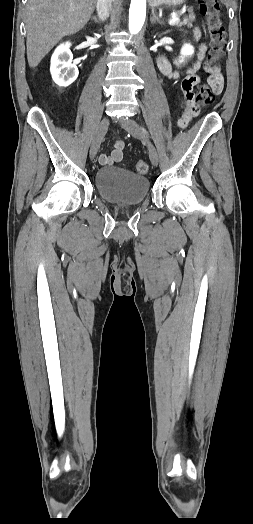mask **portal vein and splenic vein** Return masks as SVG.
Wrapping results in <instances>:
<instances>
[{
    "label": "portal vein and splenic vein",
    "instance_id": "18ae733b",
    "mask_svg": "<svg viewBox=\"0 0 253 524\" xmlns=\"http://www.w3.org/2000/svg\"><path fill=\"white\" fill-rule=\"evenodd\" d=\"M180 21V18L178 16H173L170 20H169V25H175L176 23H178Z\"/></svg>",
    "mask_w": 253,
    "mask_h": 524
}]
</instances>
